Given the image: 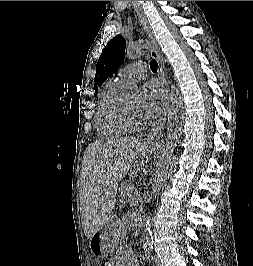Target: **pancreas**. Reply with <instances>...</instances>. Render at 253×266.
Instances as JSON below:
<instances>
[{
  "instance_id": "pancreas-1",
  "label": "pancreas",
  "mask_w": 253,
  "mask_h": 266,
  "mask_svg": "<svg viewBox=\"0 0 253 266\" xmlns=\"http://www.w3.org/2000/svg\"><path fill=\"white\" fill-rule=\"evenodd\" d=\"M135 195L136 189L131 183H129V181L122 184L120 194V202L122 204H125L127 201L131 202Z\"/></svg>"
}]
</instances>
